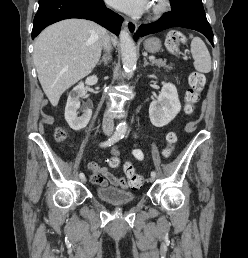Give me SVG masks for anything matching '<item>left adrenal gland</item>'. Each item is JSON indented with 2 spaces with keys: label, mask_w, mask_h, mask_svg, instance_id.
<instances>
[{
  "label": "left adrenal gland",
  "mask_w": 248,
  "mask_h": 258,
  "mask_svg": "<svg viewBox=\"0 0 248 258\" xmlns=\"http://www.w3.org/2000/svg\"><path fill=\"white\" fill-rule=\"evenodd\" d=\"M143 59H144V67L147 66V65H152V64H150V63L147 61L146 57H144Z\"/></svg>",
  "instance_id": "left-adrenal-gland-1"
}]
</instances>
